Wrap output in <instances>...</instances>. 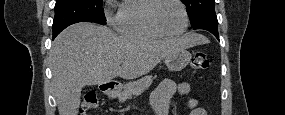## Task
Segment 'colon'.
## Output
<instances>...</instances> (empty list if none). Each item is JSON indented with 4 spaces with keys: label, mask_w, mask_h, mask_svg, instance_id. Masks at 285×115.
Wrapping results in <instances>:
<instances>
[{
    "label": "colon",
    "mask_w": 285,
    "mask_h": 115,
    "mask_svg": "<svg viewBox=\"0 0 285 115\" xmlns=\"http://www.w3.org/2000/svg\"><path fill=\"white\" fill-rule=\"evenodd\" d=\"M209 61L207 56L202 53L198 52L193 56L191 67L193 70H204L208 68ZM98 108V100L94 92H89L85 95L81 114H85L87 111L95 110Z\"/></svg>",
    "instance_id": "1"
}]
</instances>
